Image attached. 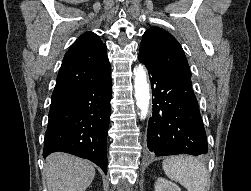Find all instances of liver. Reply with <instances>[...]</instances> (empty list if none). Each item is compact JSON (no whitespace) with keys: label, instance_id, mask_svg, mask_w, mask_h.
Here are the masks:
<instances>
[{"label":"liver","instance_id":"6515ba94","mask_svg":"<svg viewBox=\"0 0 251 191\" xmlns=\"http://www.w3.org/2000/svg\"><path fill=\"white\" fill-rule=\"evenodd\" d=\"M49 191H84L94 179L95 169L86 159L69 153H51L44 167Z\"/></svg>","mask_w":251,"mask_h":191}]
</instances>
